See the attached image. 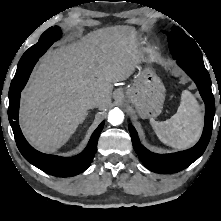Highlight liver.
<instances>
[{
    "label": "liver",
    "mask_w": 221,
    "mask_h": 221,
    "mask_svg": "<svg viewBox=\"0 0 221 221\" xmlns=\"http://www.w3.org/2000/svg\"><path fill=\"white\" fill-rule=\"evenodd\" d=\"M137 64L133 31L124 25L98 29L49 50L21 94L23 134L39 151L55 152L85 120L87 101L98 97L99 110H105L113 83L129 78Z\"/></svg>",
    "instance_id": "1"
}]
</instances>
